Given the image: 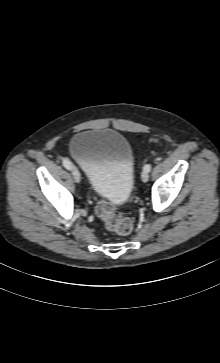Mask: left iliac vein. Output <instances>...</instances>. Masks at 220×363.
I'll return each mask as SVG.
<instances>
[{
    "label": "left iliac vein",
    "mask_w": 220,
    "mask_h": 363,
    "mask_svg": "<svg viewBox=\"0 0 220 363\" xmlns=\"http://www.w3.org/2000/svg\"><path fill=\"white\" fill-rule=\"evenodd\" d=\"M141 178H142V181L143 182H147L149 180V174L147 171H143L142 174H141Z\"/></svg>",
    "instance_id": "1"
}]
</instances>
